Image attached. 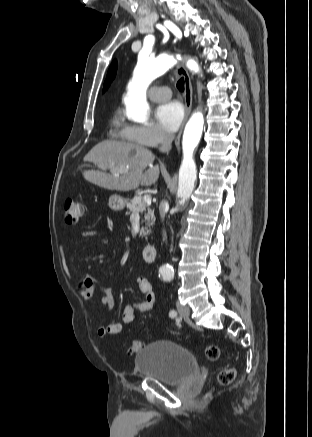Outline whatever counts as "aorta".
<instances>
[{"mask_svg":"<svg viewBox=\"0 0 312 437\" xmlns=\"http://www.w3.org/2000/svg\"><path fill=\"white\" fill-rule=\"evenodd\" d=\"M176 60L170 55H160L157 58H141L134 70L133 79L128 86V94L125 98L126 115L138 123H146L149 105L146 99V91L150 83L157 77L169 70ZM187 67L199 72V66L194 60L187 62ZM204 118L201 112L194 113L189 119L182 138L183 160L179 169V183L177 191V208L183 206L190 198L196 181V164L193 152L198 146L203 131ZM173 268L169 264L160 267L162 274L172 273Z\"/></svg>","mask_w":312,"mask_h":437,"instance_id":"1","label":"aorta"}]
</instances>
